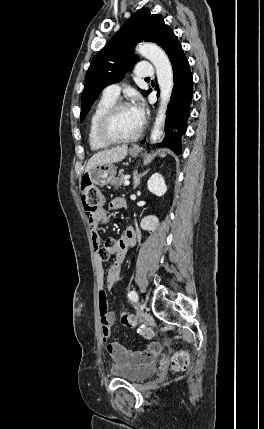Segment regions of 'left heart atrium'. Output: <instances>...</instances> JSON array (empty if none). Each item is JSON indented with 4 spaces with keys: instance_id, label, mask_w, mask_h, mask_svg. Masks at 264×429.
Masks as SVG:
<instances>
[{
    "instance_id": "left-heart-atrium-1",
    "label": "left heart atrium",
    "mask_w": 264,
    "mask_h": 429,
    "mask_svg": "<svg viewBox=\"0 0 264 429\" xmlns=\"http://www.w3.org/2000/svg\"><path fill=\"white\" fill-rule=\"evenodd\" d=\"M132 109L135 113V115L141 120L143 121L144 118V113H145V109H144V105L140 100H137L134 105L132 106Z\"/></svg>"
}]
</instances>
